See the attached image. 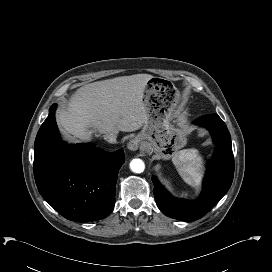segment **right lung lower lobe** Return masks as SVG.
<instances>
[{"mask_svg": "<svg viewBox=\"0 0 272 272\" xmlns=\"http://www.w3.org/2000/svg\"><path fill=\"white\" fill-rule=\"evenodd\" d=\"M55 109L53 104L35 140L34 177L39 193L69 220L90 222L105 218L115 204L116 181L125 161L124 152L62 142Z\"/></svg>", "mask_w": 272, "mask_h": 272, "instance_id": "98d812e1", "label": "right lung lower lobe"}]
</instances>
